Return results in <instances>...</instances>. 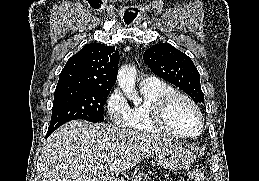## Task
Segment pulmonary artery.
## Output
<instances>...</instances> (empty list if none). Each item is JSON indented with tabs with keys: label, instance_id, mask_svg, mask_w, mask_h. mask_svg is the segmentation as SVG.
Here are the masks:
<instances>
[{
	"label": "pulmonary artery",
	"instance_id": "obj_1",
	"mask_svg": "<svg viewBox=\"0 0 259 181\" xmlns=\"http://www.w3.org/2000/svg\"><path fill=\"white\" fill-rule=\"evenodd\" d=\"M158 79L153 76H148L141 81V85L151 84L157 82Z\"/></svg>",
	"mask_w": 259,
	"mask_h": 181
}]
</instances>
